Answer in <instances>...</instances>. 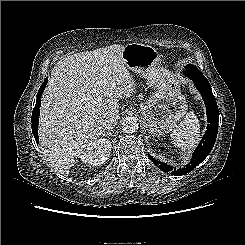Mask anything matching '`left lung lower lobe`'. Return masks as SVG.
Returning <instances> with one entry per match:
<instances>
[{"mask_svg": "<svg viewBox=\"0 0 245 245\" xmlns=\"http://www.w3.org/2000/svg\"><path fill=\"white\" fill-rule=\"evenodd\" d=\"M184 74L194 82L195 87L199 90L204 100L206 110H207V130L202 140L200 141L198 147L193 152L190 163L186 166L176 169L172 166L160 162L150 156L152 162L162 171L171 173L173 175H184L192 171L198 164H200L212 150L218 132V107L215 97L212 93L209 81L205 76L198 70L197 67L193 65H187Z\"/></svg>", "mask_w": 245, "mask_h": 245, "instance_id": "obj_1", "label": "left lung lower lobe"}]
</instances>
